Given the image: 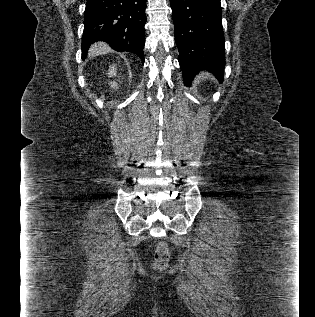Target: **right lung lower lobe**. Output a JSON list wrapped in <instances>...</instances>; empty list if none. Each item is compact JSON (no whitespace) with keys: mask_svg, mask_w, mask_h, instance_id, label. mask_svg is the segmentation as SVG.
<instances>
[{"mask_svg":"<svg viewBox=\"0 0 315 317\" xmlns=\"http://www.w3.org/2000/svg\"><path fill=\"white\" fill-rule=\"evenodd\" d=\"M146 0H87L82 58L96 41L107 42L116 51L136 54L144 63Z\"/></svg>","mask_w":315,"mask_h":317,"instance_id":"98d812e1","label":"right lung lower lobe"}]
</instances>
